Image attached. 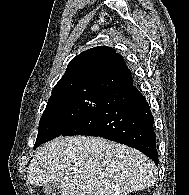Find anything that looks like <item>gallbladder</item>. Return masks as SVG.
<instances>
[{
    "label": "gallbladder",
    "instance_id": "gallbladder-1",
    "mask_svg": "<svg viewBox=\"0 0 189 195\" xmlns=\"http://www.w3.org/2000/svg\"><path fill=\"white\" fill-rule=\"evenodd\" d=\"M45 195H57L60 191V186L54 183L43 186L42 188Z\"/></svg>",
    "mask_w": 189,
    "mask_h": 195
}]
</instances>
